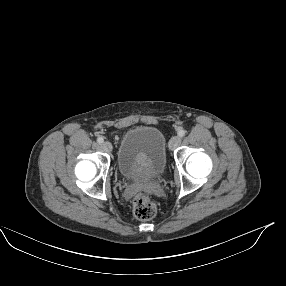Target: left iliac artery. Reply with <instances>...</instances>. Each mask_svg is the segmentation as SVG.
Returning a JSON list of instances; mask_svg holds the SVG:
<instances>
[{
	"label": "left iliac artery",
	"instance_id": "obj_1",
	"mask_svg": "<svg viewBox=\"0 0 286 286\" xmlns=\"http://www.w3.org/2000/svg\"><path fill=\"white\" fill-rule=\"evenodd\" d=\"M186 131L184 129L179 130L178 135L180 137H184L185 136Z\"/></svg>",
	"mask_w": 286,
	"mask_h": 286
}]
</instances>
